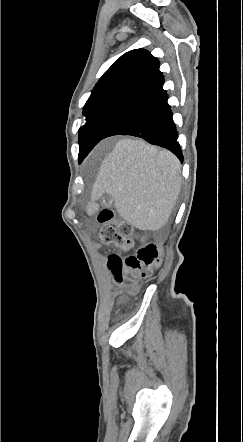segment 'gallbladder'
Here are the masks:
<instances>
[{
	"mask_svg": "<svg viewBox=\"0 0 243 442\" xmlns=\"http://www.w3.org/2000/svg\"><path fill=\"white\" fill-rule=\"evenodd\" d=\"M112 202H113V198L108 193L104 194V196L101 198V204L104 207H107V208L111 207L112 206Z\"/></svg>",
	"mask_w": 243,
	"mask_h": 442,
	"instance_id": "bac80fb5",
	"label": "gallbladder"
}]
</instances>
